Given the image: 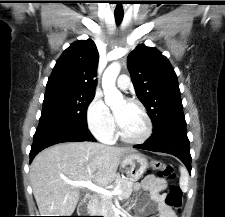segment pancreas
<instances>
[{"mask_svg": "<svg viewBox=\"0 0 225 217\" xmlns=\"http://www.w3.org/2000/svg\"><path fill=\"white\" fill-rule=\"evenodd\" d=\"M133 184V180H130L128 178H121L120 176L116 177L114 187L122 191V193L118 195V197L121 199L129 198L133 191ZM90 210L93 213H101L105 217H113L111 199L110 197L103 194L94 196L92 202L90 203Z\"/></svg>", "mask_w": 225, "mask_h": 217, "instance_id": "obj_1", "label": "pancreas"}]
</instances>
